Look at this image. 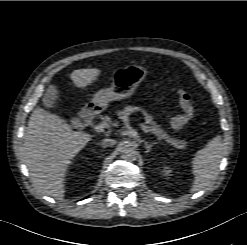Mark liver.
I'll return each mask as SVG.
<instances>
[{"label":"liver","instance_id":"1","mask_svg":"<svg viewBox=\"0 0 247 245\" xmlns=\"http://www.w3.org/2000/svg\"><path fill=\"white\" fill-rule=\"evenodd\" d=\"M100 72L96 68L78 69L70 74V79L75 87L84 89ZM91 139L85 132L73 131L60 117L41 108L34 109L23 144L25 165L34 186L44 194L62 200L68 167Z\"/></svg>","mask_w":247,"mask_h":245}]
</instances>
